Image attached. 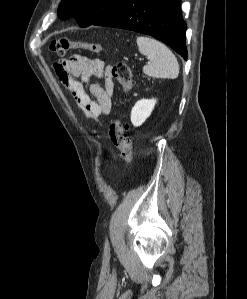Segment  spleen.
<instances>
[{"mask_svg":"<svg viewBox=\"0 0 247 299\" xmlns=\"http://www.w3.org/2000/svg\"><path fill=\"white\" fill-rule=\"evenodd\" d=\"M138 50L147 56L150 62L143 67V72L156 78L175 79L179 75V64L172 51L163 43L140 36L137 38Z\"/></svg>","mask_w":247,"mask_h":299,"instance_id":"spleen-1","label":"spleen"}]
</instances>
